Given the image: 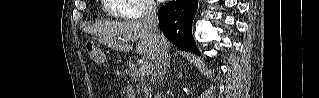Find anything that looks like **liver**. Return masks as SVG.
<instances>
[{"mask_svg": "<svg viewBox=\"0 0 319 98\" xmlns=\"http://www.w3.org/2000/svg\"><path fill=\"white\" fill-rule=\"evenodd\" d=\"M86 32L98 37L100 43L109 47L128 52L132 49L125 39L140 40L137 53L155 60L157 43L152 34L149 33L142 20H128L123 22L105 21L86 28ZM120 41H117L119 40ZM122 40V42H121ZM167 48L170 43L165 39Z\"/></svg>", "mask_w": 319, "mask_h": 98, "instance_id": "obj_1", "label": "liver"}]
</instances>
